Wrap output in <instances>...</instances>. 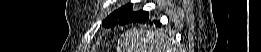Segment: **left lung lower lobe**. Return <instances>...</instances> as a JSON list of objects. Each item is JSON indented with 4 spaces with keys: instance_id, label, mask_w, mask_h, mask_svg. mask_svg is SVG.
<instances>
[{
    "instance_id": "obj_1",
    "label": "left lung lower lobe",
    "mask_w": 261,
    "mask_h": 52,
    "mask_svg": "<svg viewBox=\"0 0 261 52\" xmlns=\"http://www.w3.org/2000/svg\"><path fill=\"white\" fill-rule=\"evenodd\" d=\"M145 21H148V13L147 12L145 13V15L141 19L137 20L136 22H145ZM154 22L156 23V21H154ZM149 23L151 24L152 22L149 21Z\"/></svg>"
}]
</instances>
